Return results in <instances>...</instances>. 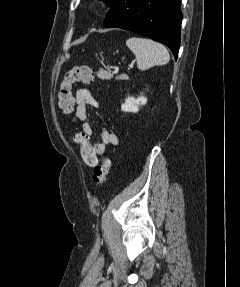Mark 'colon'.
<instances>
[{"label":"colon","mask_w":240,"mask_h":287,"mask_svg":"<svg viewBox=\"0 0 240 287\" xmlns=\"http://www.w3.org/2000/svg\"><path fill=\"white\" fill-rule=\"evenodd\" d=\"M94 82V74L87 66H75L68 70L59 86L58 104L61 110L70 114L74 108V96L72 86L75 83L90 84ZM73 140L79 146L80 155L85 164L93 168V180L99 184H105L111 168L108 157H100L95 146L90 143L89 136L82 130L73 131Z\"/></svg>","instance_id":"1"}]
</instances>
